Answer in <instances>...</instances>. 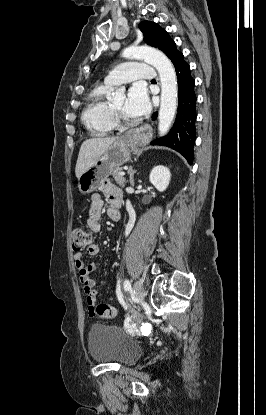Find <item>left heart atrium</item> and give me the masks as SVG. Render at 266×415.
Instances as JSON below:
<instances>
[{"mask_svg": "<svg viewBox=\"0 0 266 415\" xmlns=\"http://www.w3.org/2000/svg\"><path fill=\"white\" fill-rule=\"evenodd\" d=\"M151 104L144 85L134 84L127 95L124 111L132 118H139L149 113Z\"/></svg>", "mask_w": 266, "mask_h": 415, "instance_id": "left-heart-atrium-1", "label": "left heart atrium"}]
</instances>
